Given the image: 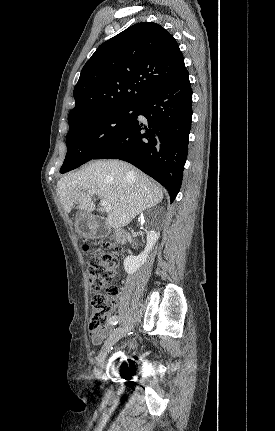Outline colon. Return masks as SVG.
I'll list each match as a JSON object with an SVG mask.
<instances>
[{
    "mask_svg": "<svg viewBox=\"0 0 275 431\" xmlns=\"http://www.w3.org/2000/svg\"><path fill=\"white\" fill-rule=\"evenodd\" d=\"M102 247L108 250L112 244L108 240L102 242ZM89 250V247H85ZM118 269V259L112 254L101 251L91 253L88 264V276L91 290L94 292L91 300L92 315L89 324L90 334L95 335L107 328L110 313L115 305L118 289L108 285ZM105 289L106 293L100 291Z\"/></svg>",
    "mask_w": 275,
    "mask_h": 431,
    "instance_id": "colon-1",
    "label": "colon"
}]
</instances>
